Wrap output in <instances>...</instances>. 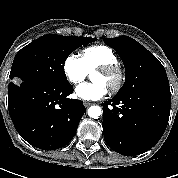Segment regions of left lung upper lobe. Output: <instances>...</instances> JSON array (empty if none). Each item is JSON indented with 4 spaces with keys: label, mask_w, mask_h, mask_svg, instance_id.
Segmentation results:
<instances>
[{
    "label": "left lung upper lobe",
    "mask_w": 178,
    "mask_h": 178,
    "mask_svg": "<svg viewBox=\"0 0 178 178\" xmlns=\"http://www.w3.org/2000/svg\"><path fill=\"white\" fill-rule=\"evenodd\" d=\"M104 42L117 51L125 67V82L116 96L137 91L171 96L165 68L144 46L128 36L105 38Z\"/></svg>",
    "instance_id": "1"
}]
</instances>
